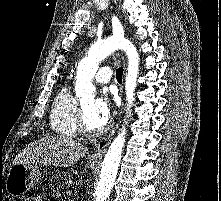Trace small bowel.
Returning <instances> with one entry per match:
<instances>
[{
    "instance_id": "obj_1",
    "label": "small bowel",
    "mask_w": 221,
    "mask_h": 201,
    "mask_svg": "<svg viewBox=\"0 0 221 201\" xmlns=\"http://www.w3.org/2000/svg\"><path fill=\"white\" fill-rule=\"evenodd\" d=\"M31 201H43V200L40 198H33Z\"/></svg>"
}]
</instances>
